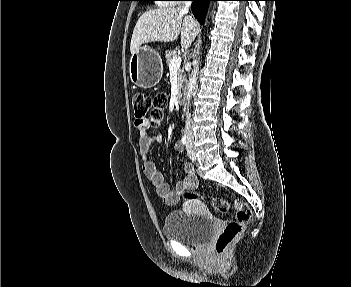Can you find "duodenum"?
<instances>
[{
    "label": "duodenum",
    "instance_id": "410a0bca",
    "mask_svg": "<svg viewBox=\"0 0 351 287\" xmlns=\"http://www.w3.org/2000/svg\"><path fill=\"white\" fill-rule=\"evenodd\" d=\"M176 99L178 103H182L184 100V95L182 89H178L176 92Z\"/></svg>",
    "mask_w": 351,
    "mask_h": 287
}]
</instances>
